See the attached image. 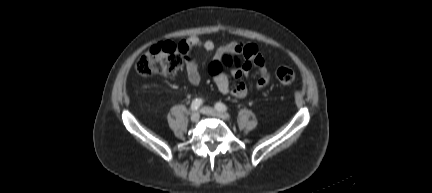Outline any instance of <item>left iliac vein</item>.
Returning <instances> with one entry per match:
<instances>
[{"label": "left iliac vein", "mask_w": 432, "mask_h": 193, "mask_svg": "<svg viewBox=\"0 0 432 193\" xmlns=\"http://www.w3.org/2000/svg\"><path fill=\"white\" fill-rule=\"evenodd\" d=\"M201 112L203 114L208 115V116H214V117L220 118L222 120H228V119H230L229 114L221 112V111H218V110H216L214 108L207 107V106L203 107L201 109Z\"/></svg>", "instance_id": "left-iliac-vein-1"}]
</instances>
